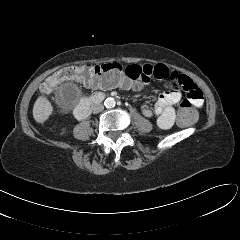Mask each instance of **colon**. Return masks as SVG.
Wrapping results in <instances>:
<instances>
[{
	"label": "colon",
	"instance_id": "obj_1",
	"mask_svg": "<svg viewBox=\"0 0 240 240\" xmlns=\"http://www.w3.org/2000/svg\"><path fill=\"white\" fill-rule=\"evenodd\" d=\"M136 77L127 72L118 63L100 65L67 66L49 76L41 86L44 94H50L61 82L75 80L90 86L121 87L131 83ZM197 119V113L188 100L181 102L178 112V122L181 125H191Z\"/></svg>",
	"mask_w": 240,
	"mask_h": 240
}]
</instances>
